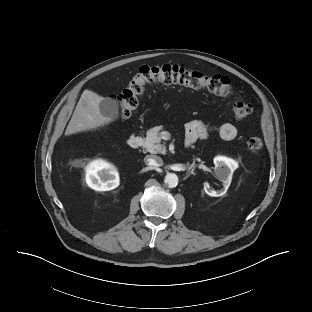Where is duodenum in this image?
Listing matches in <instances>:
<instances>
[{
    "label": "duodenum",
    "instance_id": "duodenum-1",
    "mask_svg": "<svg viewBox=\"0 0 312 312\" xmlns=\"http://www.w3.org/2000/svg\"><path fill=\"white\" fill-rule=\"evenodd\" d=\"M127 144L130 148L137 149L142 145V139L139 136L131 135L127 140ZM186 146L188 147L189 144H186Z\"/></svg>",
    "mask_w": 312,
    "mask_h": 312
}]
</instances>
